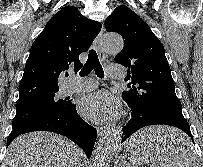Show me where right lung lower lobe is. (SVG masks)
<instances>
[{"label": "right lung lower lobe", "instance_id": "98d812e1", "mask_svg": "<svg viewBox=\"0 0 203 167\" xmlns=\"http://www.w3.org/2000/svg\"><path fill=\"white\" fill-rule=\"evenodd\" d=\"M32 131H50L66 136L80 146L88 158L92 154L97 137L96 129L77 114L75 104H71L66 111L41 117L14 128L7 139V145L17 136Z\"/></svg>", "mask_w": 203, "mask_h": 167}]
</instances>
